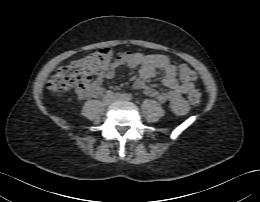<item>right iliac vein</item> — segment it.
<instances>
[{"label":"right iliac vein","instance_id":"obj_1","mask_svg":"<svg viewBox=\"0 0 260 202\" xmlns=\"http://www.w3.org/2000/svg\"><path fill=\"white\" fill-rule=\"evenodd\" d=\"M112 101H113V97H110V96H107V95H106V96L103 98V103H104L105 105L111 104Z\"/></svg>","mask_w":260,"mask_h":202}]
</instances>
